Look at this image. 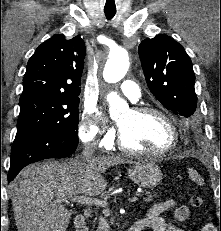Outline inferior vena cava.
<instances>
[{
  "instance_id": "602c4592",
  "label": "inferior vena cava",
  "mask_w": 221,
  "mask_h": 231,
  "mask_svg": "<svg viewBox=\"0 0 221 231\" xmlns=\"http://www.w3.org/2000/svg\"><path fill=\"white\" fill-rule=\"evenodd\" d=\"M95 152V145L94 144H88L84 147L82 152V159L85 161H88L93 157V154Z\"/></svg>"
}]
</instances>
